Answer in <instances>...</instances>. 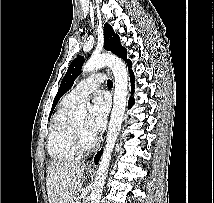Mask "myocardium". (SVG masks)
<instances>
[{"label": "myocardium", "instance_id": "f54148a6", "mask_svg": "<svg viewBox=\"0 0 214 203\" xmlns=\"http://www.w3.org/2000/svg\"><path fill=\"white\" fill-rule=\"evenodd\" d=\"M72 144L78 153H85L95 149L98 144V139L95 135H92L90 141H86L82 129L73 123Z\"/></svg>", "mask_w": 214, "mask_h": 203}]
</instances>
